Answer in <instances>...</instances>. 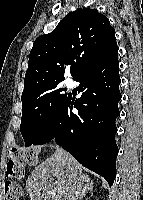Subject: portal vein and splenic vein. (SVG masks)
I'll return each mask as SVG.
<instances>
[{
	"label": "portal vein and splenic vein",
	"mask_w": 143,
	"mask_h": 200,
	"mask_svg": "<svg viewBox=\"0 0 143 200\" xmlns=\"http://www.w3.org/2000/svg\"><path fill=\"white\" fill-rule=\"evenodd\" d=\"M49 195L53 196V195H55V193L54 192H49Z\"/></svg>",
	"instance_id": "18ae733b"
}]
</instances>
